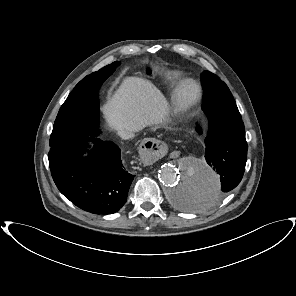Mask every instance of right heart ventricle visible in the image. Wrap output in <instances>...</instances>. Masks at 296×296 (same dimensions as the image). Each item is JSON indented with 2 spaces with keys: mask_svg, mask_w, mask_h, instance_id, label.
I'll return each instance as SVG.
<instances>
[{
  "mask_svg": "<svg viewBox=\"0 0 296 296\" xmlns=\"http://www.w3.org/2000/svg\"><path fill=\"white\" fill-rule=\"evenodd\" d=\"M181 76V73L178 71H172L168 74V81L173 82L177 79H179Z\"/></svg>",
  "mask_w": 296,
  "mask_h": 296,
  "instance_id": "obj_1",
  "label": "right heart ventricle"
}]
</instances>
